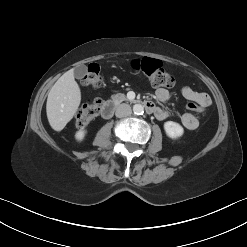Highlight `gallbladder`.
<instances>
[{
  "instance_id": "1",
  "label": "gallbladder",
  "mask_w": 247,
  "mask_h": 247,
  "mask_svg": "<svg viewBox=\"0 0 247 247\" xmlns=\"http://www.w3.org/2000/svg\"><path fill=\"white\" fill-rule=\"evenodd\" d=\"M86 72H87V69H86V66L85 65L77 66L74 69V75L77 78H81Z\"/></svg>"
}]
</instances>
